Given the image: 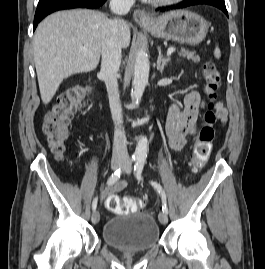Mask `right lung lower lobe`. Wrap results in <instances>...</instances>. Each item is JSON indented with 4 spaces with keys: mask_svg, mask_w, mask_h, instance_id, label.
Returning a JSON list of instances; mask_svg holds the SVG:
<instances>
[{
    "mask_svg": "<svg viewBox=\"0 0 265 269\" xmlns=\"http://www.w3.org/2000/svg\"><path fill=\"white\" fill-rule=\"evenodd\" d=\"M106 0H40L34 17V30L38 23L48 14L71 8H97Z\"/></svg>",
    "mask_w": 265,
    "mask_h": 269,
    "instance_id": "right-lung-lower-lobe-1",
    "label": "right lung lower lobe"
}]
</instances>
